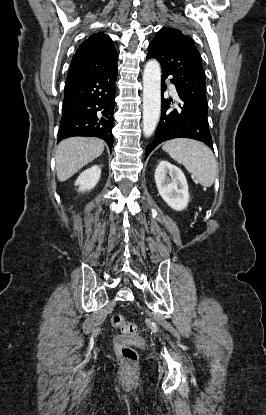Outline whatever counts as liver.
I'll return each mask as SVG.
<instances>
[{"label":"liver","mask_w":266,"mask_h":415,"mask_svg":"<svg viewBox=\"0 0 266 415\" xmlns=\"http://www.w3.org/2000/svg\"><path fill=\"white\" fill-rule=\"evenodd\" d=\"M104 151L101 139L72 137L61 141L55 153L57 178L64 182Z\"/></svg>","instance_id":"6515ba94"}]
</instances>
